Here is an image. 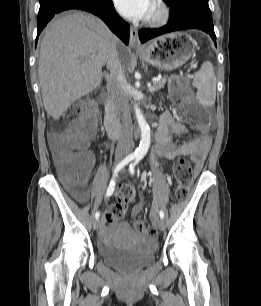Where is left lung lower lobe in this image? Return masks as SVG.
Instances as JSON below:
<instances>
[{
	"label": "left lung lower lobe",
	"instance_id": "0a47b994",
	"mask_svg": "<svg viewBox=\"0 0 261 306\" xmlns=\"http://www.w3.org/2000/svg\"><path fill=\"white\" fill-rule=\"evenodd\" d=\"M169 5L171 16L168 24L159 29L140 30L141 43L165 33L184 29H200L216 40L208 0H178Z\"/></svg>",
	"mask_w": 261,
	"mask_h": 306
}]
</instances>
